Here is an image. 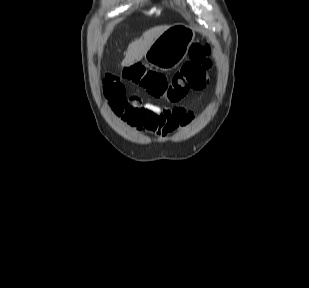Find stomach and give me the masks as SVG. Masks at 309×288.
I'll return each instance as SVG.
<instances>
[{
	"label": "stomach",
	"instance_id": "stomach-1",
	"mask_svg": "<svg viewBox=\"0 0 309 288\" xmlns=\"http://www.w3.org/2000/svg\"><path fill=\"white\" fill-rule=\"evenodd\" d=\"M195 38V31L176 24L164 31L150 46L144 57L147 63L162 71L177 67L186 57Z\"/></svg>",
	"mask_w": 309,
	"mask_h": 288
}]
</instances>
